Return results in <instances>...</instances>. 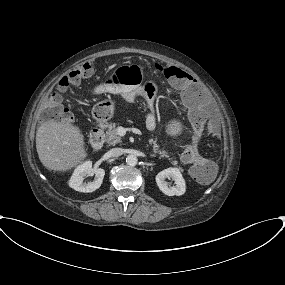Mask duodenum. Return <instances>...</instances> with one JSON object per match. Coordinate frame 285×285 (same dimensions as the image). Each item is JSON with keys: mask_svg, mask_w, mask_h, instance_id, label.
I'll return each instance as SVG.
<instances>
[{"mask_svg": "<svg viewBox=\"0 0 285 285\" xmlns=\"http://www.w3.org/2000/svg\"><path fill=\"white\" fill-rule=\"evenodd\" d=\"M90 141L95 149L100 148L104 141V127H94L90 134Z\"/></svg>", "mask_w": 285, "mask_h": 285, "instance_id": "1", "label": "duodenum"}]
</instances>
